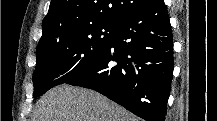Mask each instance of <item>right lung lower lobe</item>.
Segmentation results:
<instances>
[{"instance_id": "right-lung-lower-lobe-1", "label": "right lung lower lobe", "mask_w": 217, "mask_h": 121, "mask_svg": "<svg viewBox=\"0 0 217 121\" xmlns=\"http://www.w3.org/2000/svg\"><path fill=\"white\" fill-rule=\"evenodd\" d=\"M173 74V40L163 0L123 19L105 51L65 83L90 88L146 121H164Z\"/></svg>"}]
</instances>
